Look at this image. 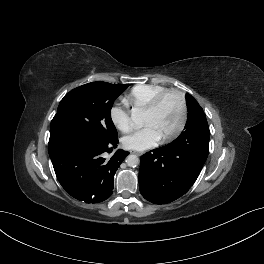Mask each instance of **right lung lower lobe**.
I'll list each match as a JSON object with an SVG mask.
<instances>
[{
	"label": "right lung lower lobe",
	"instance_id": "right-lung-lower-lobe-1",
	"mask_svg": "<svg viewBox=\"0 0 264 264\" xmlns=\"http://www.w3.org/2000/svg\"><path fill=\"white\" fill-rule=\"evenodd\" d=\"M117 144V138L111 141L64 138L49 144V155L62 187L72 197L86 203L108 199L115 172L129 154L119 149L106 160L104 153L111 152Z\"/></svg>",
	"mask_w": 264,
	"mask_h": 264
}]
</instances>
